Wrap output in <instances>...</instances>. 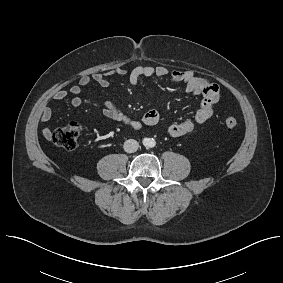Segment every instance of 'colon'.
I'll use <instances>...</instances> for the list:
<instances>
[{"label": "colon", "instance_id": "1", "mask_svg": "<svg viewBox=\"0 0 283 283\" xmlns=\"http://www.w3.org/2000/svg\"><path fill=\"white\" fill-rule=\"evenodd\" d=\"M237 119L227 117L224 124L227 128L232 129L237 126ZM82 131V126L78 122H71L65 126L57 128L50 134L52 142L66 150H73L77 146L78 138Z\"/></svg>", "mask_w": 283, "mask_h": 283}]
</instances>
